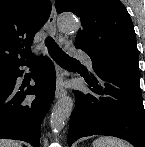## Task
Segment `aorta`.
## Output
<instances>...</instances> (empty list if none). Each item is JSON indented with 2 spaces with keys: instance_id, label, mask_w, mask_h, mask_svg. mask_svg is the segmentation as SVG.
<instances>
[{
  "instance_id": "762f6f07",
  "label": "aorta",
  "mask_w": 145,
  "mask_h": 147,
  "mask_svg": "<svg viewBox=\"0 0 145 147\" xmlns=\"http://www.w3.org/2000/svg\"><path fill=\"white\" fill-rule=\"evenodd\" d=\"M58 25L61 31L71 32L76 31L80 24L71 14H63L58 19ZM73 106L74 102L70 97H64L56 103L50 118V127L53 132L58 133L64 128L71 116Z\"/></svg>"
}]
</instances>
